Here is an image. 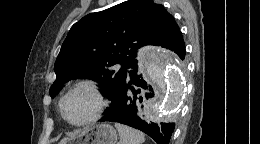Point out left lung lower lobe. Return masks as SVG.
<instances>
[{
	"label": "left lung lower lobe",
	"instance_id": "0a47b994",
	"mask_svg": "<svg viewBox=\"0 0 260 144\" xmlns=\"http://www.w3.org/2000/svg\"><path fill=\"white\" fill-rule=\"evenodd\" d=\"M164 48L174 51L181 60H184L185 44L182 33L179 32L165 44ZM137 72V63H135L124 75L113 95L111 106L105 110L100 121L125 124L143 131L157 144H169L175 124L172 122L156 123L142 114L143 104L153 98L155 92Z\"/></svg>",
	"mask_w": 260,
	"mask_h": 144
}]
</instances>
